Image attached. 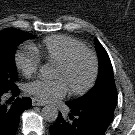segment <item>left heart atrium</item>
I'll list each match as a JSON object with an SVG mask.
<instances>
[{
    "mask_svg": "<svg viewBox=\"0 0 135 135\" xmlns=\"http://www.w3.org/2000/svg\"><path fill=\"white\" fill-rule=\"evenodd\" d=\"M67 85L61 79L37 80L27 86V91L37 97L40 101L51 102L65 96Z\"/></svg>",
    "mask_w": 135,
    "mask_h": 135,
    "instance_id": "1",
    "label": "left heart atrium"
}]
</instances>
